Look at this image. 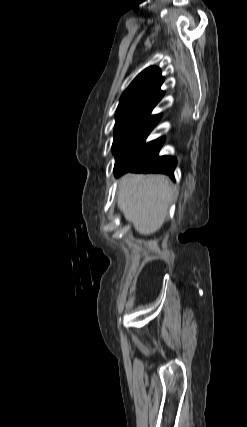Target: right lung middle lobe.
Returning a JSON list of instances; mask_svg holds the SVG:
<instances>
[{
  "mask_svg": "<svg viewBox=\"0 0 247 427\" xmlns=\"http://www.w3.org/2000/svg\"><path fill=\"white\" fill-rule=\"evenodd\" d=\"M149 115L145 113H121L116 114L115 134L113 141V153H117L127 137Z\"/></svg>",
  "mask_w": 247,
  "mask_h": 427,
  "instance_id": "1",
  "label": "right lung middle lobe"
}]
</instances>
